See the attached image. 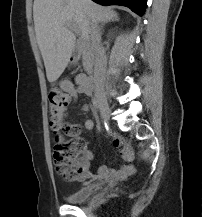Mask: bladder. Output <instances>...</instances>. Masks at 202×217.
Instances as JSON below:
<instances>
[{"label": "bladder", "instance_id": "31cf9c89", "mask_svg": "<svg viewBox=\"0 0 202 217\" xmlns=\"http://www.w3.org/2000/svg\"><path fill=\"white\" fill-rule=\"evenodd\" d=\"M93 192V183H87L82 187L78 188L77 190H75L74 192H72L71 194L67 195L66 200L72 204L82 203L85 202L88 198H90Z\"/></svg>", "mask_w": 202, "mask_h": 217}]
</instances>
